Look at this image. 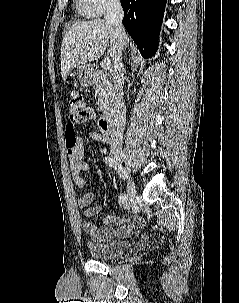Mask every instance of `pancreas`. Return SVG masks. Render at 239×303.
<instances>
[{"mask_svg":"<svg viewBox=\"0 0 239 303\" xmlns=\"http://www.w3.org/2000/svg\"><path fill=\"white\" fill-rule=\"evenodd\" d=\"M94 89L97 92L98 102L100 111L103 114L109 113L112 109V85L108 79L106 72L97 69L92 73Z\"/></svg>","mask_w":239,"mask_h":303,"instance_id":"obj_1","label":"pancreas"}]
</instances>
